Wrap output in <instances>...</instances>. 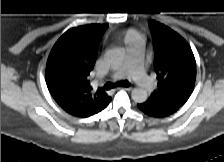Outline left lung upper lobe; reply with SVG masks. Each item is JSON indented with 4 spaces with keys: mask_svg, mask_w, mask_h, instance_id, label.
Returning <instances> with one entry per match:
<instances>
[{
    "mask_svg": "<svg viewBox=\"0 0 224 162\" xmlns=\"http://www.w3.org/2000/svg\"><path fill=\"white\" fill-rule=\"evenodd\" d=\"M155 49L154 66L158 89L145 102L181 107L190 97L196 79V62L188 43L168 27L149 23Z\"/></svg>",
    "mask_w": 224,
    "mask_h": 162,
    "instance_id": "left-lung-upper-lobe-1",
    "label": "left lung upper lobe"
}]
</instances>
